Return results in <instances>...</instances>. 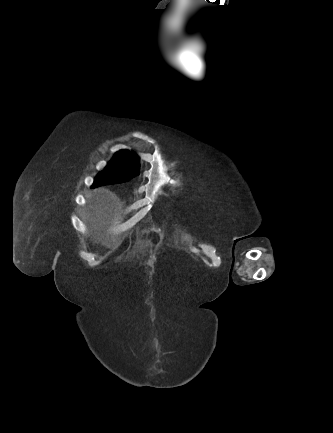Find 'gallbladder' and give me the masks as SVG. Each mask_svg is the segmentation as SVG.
<instances>
[{"instance_id":"gallbladder-1","label":"gallbladder","mask_w":333,"mask_h":433,"mask_svg":"<svg viewBox=\"0 0 333 433\" xmlns=\"http://www.w3.org/2000/svg\"><path fill=\"white\" fill-rule=\"evenodd\" d=\"M187 16L191 19L192 17L189 15V11H187Z\"/></svg>"}]
</instances>
